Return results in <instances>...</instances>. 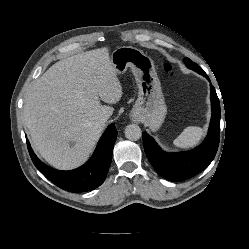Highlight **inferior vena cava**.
Masks as SVG:
<instances>
[{"label": "inferior vena cava", "instance_id": "602c4592", "mask_svg": "<svg viewBox=\"0 0 249 249\" xmlns=\"http://www.w3.org/2000/svg\"><path fill=\"white\" fill-rule=\"evenodd\" d=\"M108 118H109V116L106 115V114L100 115V116L98 117V122H99L100 124H104V123L108 120Z\"/></svg>", "mask_w": 249, "mask_h": 249}]
</instances>
